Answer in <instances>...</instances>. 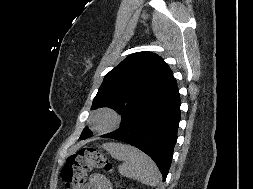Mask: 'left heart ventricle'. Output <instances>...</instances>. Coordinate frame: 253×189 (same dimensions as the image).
Masks as SVG:
<instances>
[{
  "mask_svg": "<svg viewBox=\"0 0 253 189\" xmlns=\"http://www.w3.org/2000/svg\"><path fill=\"white\" fill-rule=\"evenodd\" d=\"M106 124V120L105 119H100L98 122L99 126H104Z\"/></svg>",
  "mask_w": 253,
  "mask_h": 189,
  "instance_id": "b2bd125f",
  "label": "left heart ventricle"
}]
</instances>
